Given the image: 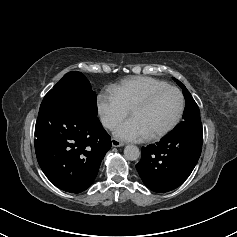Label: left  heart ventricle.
Listing matches in <instances>:
<instances>
[{
    "label": "left heart ventricle",
    "mask_w": 237,
    "mask_h": 237,
    "mask_svg": "<svg viewBox=\"0 0 237 237\" xmlns=\"http://www.w3.org/2000/svg\"><path fill=\"white\" fill-rule=\"evenodd\" d=\"M179 96L173 90L158 94L147 106L135 109L130 118L138 122L146 136L165 128L175 117L179 108Z\"/></svg>",
    "instance_id": "obj_1"
}]
</instances>
